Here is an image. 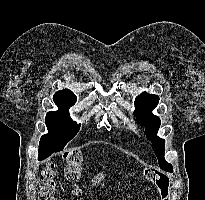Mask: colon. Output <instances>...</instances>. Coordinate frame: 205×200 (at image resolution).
Instances as JSON below:
<instances>
[{
  "instance_id": "1",
  "label": "colon",
  "mask_w": 205,
  "mask_h": 200,
  "mask_svg": "<svg viewBox=\"0 0 205 200\" xmlns=\"http://www.w3.org/2000/svg\"><path fill=\"white\" fill-rule=\"evenodd\" d=\"M82 158V153L77 149L67 150L63 154L65 162L63 171L64 177L72 184H75L80 178ZM144 176L150 183L156 186L163 196V200H168L170 186L168 177L154 169H145ZM56 177L57 172L55 164H47L41 173L39 200H56ZM76 193L80 194V191L76 189Z\"/></svg>"
}]
</instances>
